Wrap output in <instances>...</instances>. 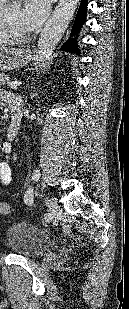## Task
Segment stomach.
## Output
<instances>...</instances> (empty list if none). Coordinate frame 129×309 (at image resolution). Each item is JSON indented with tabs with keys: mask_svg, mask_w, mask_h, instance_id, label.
Returning <instances> with one entry per match:
<instances>
[{
	"mask_svg": "<svg viewBox=\"0 0 129 309\" xmlns=\"http://www.w3.org/2000/svg\"><path fill=\"white\" fill-rule=\"evenodd\" d=\"M30 60L31 56L25 49L0 47V70L19 68Z\"/></svg>",
	"mask_w": 129,
	"mask_h": 309,
	"instance_id": "0dacf381",
	"label": "stomach"
}]
</instances>
